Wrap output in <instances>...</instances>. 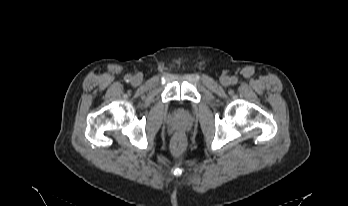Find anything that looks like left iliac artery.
Segmentation results:
<instances>
[{
    "label": "left iliac artery",
    "instance_id": "obj_1",
    "mask_svg": "<svg viewBox=\"0 0 348 206\" xmlns=\"http://www.w3.org/2000/svg\"><path fill=\"white\" fill-rule=\"evenodd\" d=\"M237 81H238V80H237V78H236V77H232V78H231V82H232V84H236V83H237Z\"/></svg>",
    "mask_w": 348,
    "mask_h": 206
}]
</instances>
